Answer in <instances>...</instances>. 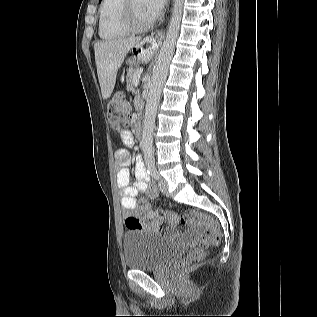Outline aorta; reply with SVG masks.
Masks as SVG:
<instances>
[{
  "mask_svg": "<svg viewBox=\"0 0 317 317\" xmlns=\"http://www.w3.org/2000/svg\"><path fill=\"white\" fill-rule=\"evenodd\" d=\"M173 2L172 16L168 26L166 39L161 46L156 64L153 67L152 77L148 85L149 93L145 107L142 131V150L145 163L148 167L154 165L153 132L157 107L163 85L167 78L169 65L174 54L182 19L184 0H173Z\"/></svg>",
  "mask_w": 317,
  "mask_h": 317,
  "instance_id": "obj_1",
  "label": "aorta"
}]
</instances>
